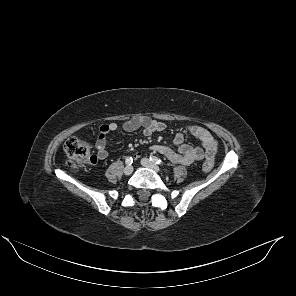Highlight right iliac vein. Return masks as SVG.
<instances>
[{"label": "right iliac vein", "mask_w": 296, "mask_h": 296, "mask_svg": "<svg viewBox=\"0 0 296 296\" xmlns=\"http://www.w3.org/2000/svg\"><path fill=\"white\" fill-rule=\"evenodd\" d=\"M132 172H133V167L132 166L128 165V166H126L124 168L125 175H130V174H132Z\"/></svg>", "instance_id": "63e3f726"}]
</instances>
